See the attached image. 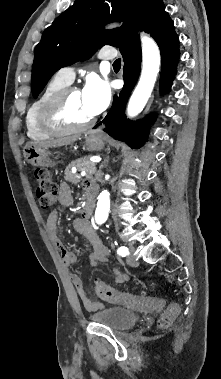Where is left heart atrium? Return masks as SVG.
Here are the masks:
<instances>
[{"label": "left heart atrium", "instance_id": "39dd6f15", "mask_svg": "<svg viewBox=\"0 0 221 379\" xmlns=\"http://www.w3.org/2000/svg\"><path fill=\"white\" fill-rule=\"evenodd\" d=\"M81 94L86 108L93 116L105 110L111 99L109 84L96 75L87 78Z\"/></svg>", "mask_w": 221, "mask_h": 379}]
</instances>
